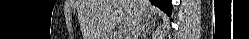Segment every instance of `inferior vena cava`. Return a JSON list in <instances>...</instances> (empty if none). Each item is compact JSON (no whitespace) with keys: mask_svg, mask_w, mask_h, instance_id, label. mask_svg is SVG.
Instances as JSON below:
<instances>
[{"mask_svg":"<svg viewBox=\"0 0 249 39\" xmlns=\"http://www.w3.org/2000/svg\"><path fill=\"white\" fill-rule=\"evenodd\" d=\"M142 17H143V13L141 11H137L131 27L129 29H126L125 31L126 32L125 35L127 39H136L137 34L140 30V26H141L140 24H141Z\"/></svg>","mask_w":249,"mask_h":39,"instance_id":"602c4592","label":"inferior vena cava"}]
</instances>
